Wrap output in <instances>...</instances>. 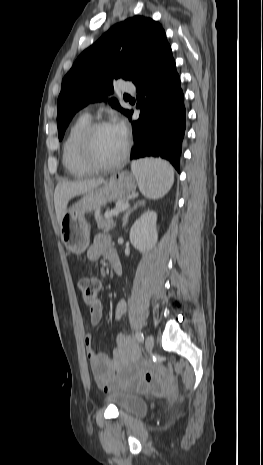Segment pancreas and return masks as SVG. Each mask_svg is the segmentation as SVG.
I'll use <instances>...</instances> for the list:
<instances>
[{"label": "pancreas", "instance_id": "obj_1", "mask_svg": "<svg viewBox=\"0 0 263 465\" xmlns=\"http://www.w3.org/2000/svg\"><path fill=\"white\" fill-rule=\"evenodd\" d=\"M95 221L97 223L98 229L104 230L105 232H108L115 227L114 219L112 217L104 218L100 214V211H96Z\"/></svg>", "mask_w": 263, "mask_h": 465}]
</instances>
